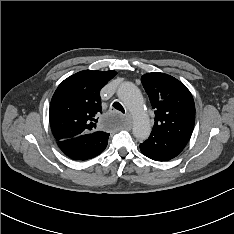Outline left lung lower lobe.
I'll list each match as a JSON object with an SVG mask.
<instances>
[{
  "mask_svg": "<svg viewBox=\"0 0 234 234\" xmlns=\"http://www.w3.org/2000/svg\"><path fill=\"white\" fill-rule=\"evenodd\" d=\"M183 149L180 144L157 134H151L145 142L140 144L141 152L155 161H168L179 155Z\"/></svg>",
  "mask_w": 234,
  "mask_h": 234,
  "instance_id": "0a47b994",
  "label": "left lung lower lobe"
}]
</instances>
